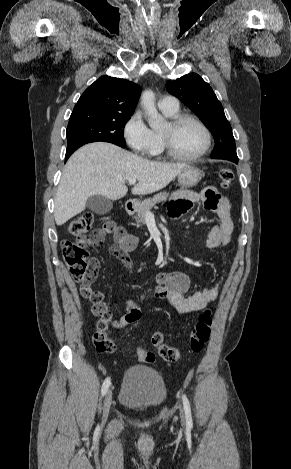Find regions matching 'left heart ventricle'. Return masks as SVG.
Wrapping results in <instances>:
<instances>
[{
	"instance_id": "b2bd125f",
	"label": "left heart ventricle",
	"mask_w": 291,
	"mask_h": 469,
	"mask_svg": "<svg viewBox=\"0 0 291 469\" xmlns=\"http://www.w3.org/2000/svg\"><path fill=\"white\" fill-rule=\"evenodd\" d=\"M162 132L170 136L174 150L181 156H193L204 145V134L192 121H185L176 128L167 124Z\"/></svg>"
}]
</instances>
